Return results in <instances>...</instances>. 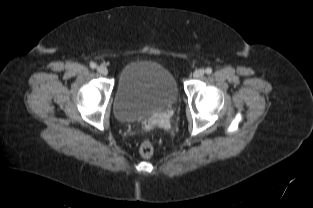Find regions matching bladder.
Instances as JSON below:
<instances>
[{
	"instance_id": "obj_1",
	"label": "bladder",
	"mask_w": 313,
	"mask_h": 208,
	"mask_svg": "<svg viewBox=\"0 0 313 208\" xmlns=\"http://www.w3.org/2000/svg\"><path fill=\"white\" fill-rule=\"evenodd\" d=\"M178 94L175 76L168 68L153 61L131 62L118 75L115 115L122 122L139 121L172 105Z\"/></svg>"
}]
</instances>
